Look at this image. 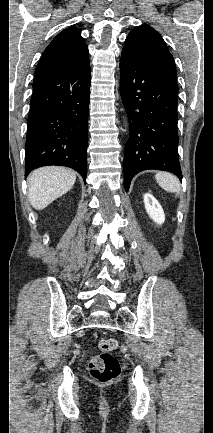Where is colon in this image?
Wrapping results in <instances>:
<instances>
[{"label": "colon", "instance_id": "1", "mask_svg": "<svg viewBox=\"0 0 213 433\" xmlns=\"http://www.w3.org/2000/svg\"><path fill=\"white\" fill-rule=\"evenodd\" d=\"M97 346L101 353L92 356L89 360L90 375L101 383L116 379L121 373L118 359L111 354L118 347L114 338L100 339Z\"/></svg>", "mask_w": 213, "mask_h": 433}]
</instances>
